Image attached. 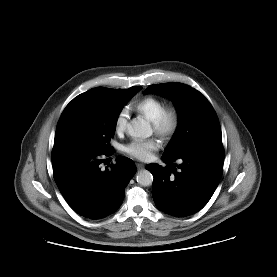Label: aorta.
I'll list each match as a JSON object with an SVG mask.
<instances>
[{"label": "aorta", "instance_id": "obj_1", "mask_svg": "<svg viewBox=\"0 0 277 277\" xmlns=\"http://www.w3.org/2000/svg\"><path fill=\"white\" fill-rule=\"evenodd\" d=\"M127 132L134 138H147L152 134L151 126L143 119H133L127 126ZM137 182L142 186H150L153 183V176L148 170H141L136 176Z\"/></svg>", "mask_w": 277, "mask_h": 277}]
</instances>
